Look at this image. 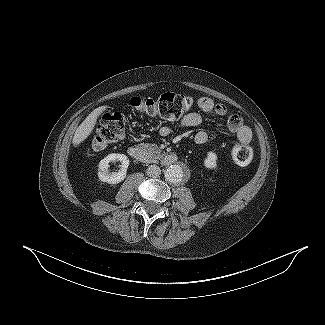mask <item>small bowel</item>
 I'll use <instances>...</instances> for the list:
<instances>
[{"label":"small bowel","instance_id":"small-bowel-1","mask_svg":"<svg viewBox=\"0 0 325 325\" xmlns=\"http://www.w3.org/2000/svg\"><path fill=\"white\" fill-rule=\"evenodd\" d=\"M198 108L207 114L224 116L227 114V107L222 103H216L209 97H201L197 101ZM202 123V116L197 112L186 114L180 121L182 127H197ZM227 130L234 134L241 144H249L252 140V132L248 126L243 123L242 118L237 115H231L227 120ZM159 134L163 137L171 134V128L167 125L159 128ZM197 144H203L208 140V134L204 130H199L194 136Z\"/></svg>","mask_w":325,"mask_h":325}]
</instances>
